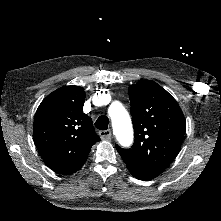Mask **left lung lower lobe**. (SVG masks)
Here are the masks:
<instances>
[{
	"label": "left lung lower lobe",
	"instance_id": "left-lung-lower-lobe-1",
	"mask_svg": "<svg viewBox=\"0 0 221 221\" xmlns=\"http://www.w3.org/2000/svg\"><path fill=\"white\" fill-rule=\"evenodd\" d=\"M132 175L135 176L136 178L140 179L137 175H135V174H132Z\"/></svg>",
	"mask_w": 221,
	"mask_h": 221
}]
</instances>
